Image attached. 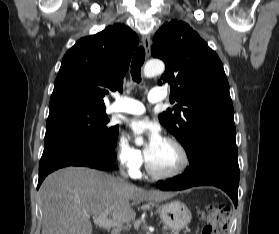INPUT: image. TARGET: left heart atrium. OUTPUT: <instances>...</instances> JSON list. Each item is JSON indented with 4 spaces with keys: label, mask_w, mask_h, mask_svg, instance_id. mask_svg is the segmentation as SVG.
Wrapping results in <instances>:
<instances>
[{
    "label": "left heart atrium",
    "mask_w": 279,
    "mask_h": 234,
    "mask_svg": "<svg viewBox=\"0 0 279 234\" xmlns=\"http://www.w3.org/2000/svg\"><path fill=\"white\" fill-rule=\"evenodd\" d=\"M130 128L135 135L146 136V153L154 150L164 140L159 126L147 119H135L131 121Z\"/></svg>",
    "instance_id": "1"
}]
</instances>
